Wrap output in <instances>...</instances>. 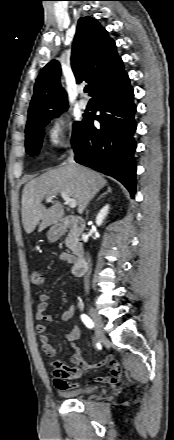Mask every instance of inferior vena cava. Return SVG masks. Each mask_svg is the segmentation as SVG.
Masks as SVG:
<instances>
[{
	"instance_id": "602c4592",
	"label": "inferior vena cava",
	"mask_w": 174,
	"mask_h": 440,
	"mask_svg": "<svg viewBox=\"0 0 174 440\" xmlns=\"http://www.w3.org/2000/svg\"><path fill=\"white\" fill-rule=\"evenodd\" d=\"M68 162L69 163H74V152L72 150L69 153ZM87 261H88V264H89V267H90L89 269L90 270L87 271V274L85 276V290L86 291H88V289H89V280H88V278H89V275H90V272H91V259H90L88 254H87Z\"/></svg>"
}]
</instances>
